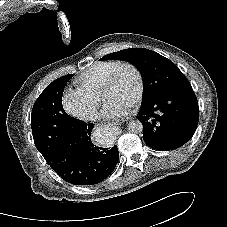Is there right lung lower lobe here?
Here are the masks:
<instances>
[{
	"label": "right lung lower lobe",
	"instance_id": "1",
	"mask_svg": "<svg viewBox=\"0 0 227 227\" xmlns=\"http://www.w3.org/2000/svg\"><path fill=\"white\" fill-rule=\"evenodd\" d=\"M94 124L72 118L49 154L48 165L66 182L93 185L107 178L119 161L118 148H101L91 141Z\"/></svg>",
	"mask_w": 227,
	"mask_h": 227
}]
</instances>
